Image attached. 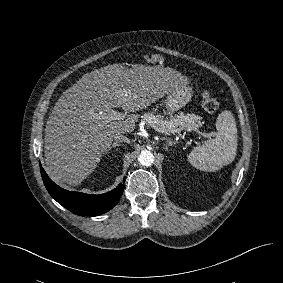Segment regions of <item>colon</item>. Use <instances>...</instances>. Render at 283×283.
I'll return each instance as SVG.
<instances>
[{"label":"colon","instance_id":"colon-1","mask_svg":"<svg viewBox=\"0 0 283 283\" xmlns=\"http://www.w3.org/2000/svg\"><path fill=\"white\" fill-rule=\"evenodd\" d=\"M144 60L147 63H160L163 58L159 54L148 53L144 55ZM202 107L208 113H215L219 107L218 101L206 89L202 91Z\"/></svg>","mask_w":283,"mask_h":283}]
</instances>
